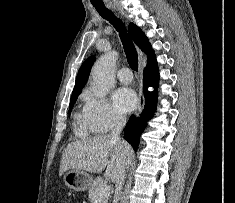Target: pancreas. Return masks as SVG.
<instances>
[{"instance_id": "1", "label": "pancreas", "mask_w": 235, "mask_h": 203, "mask_svg": "<svg viewBox=\"0 0 235 203\" xmlns=\"http://www.w3.org/2000/svg\"><path fill=\"white\" fill-rule=\"evenodd\" d=\"M104 185H106V181L101 177H97L95 180H93V183L89 189V195H88L89 200L92 203L95 200L96 192L99 189H101ZM108 200H109V195L101 198L98 203H108Z\"/></svg>"}]
</instances>
